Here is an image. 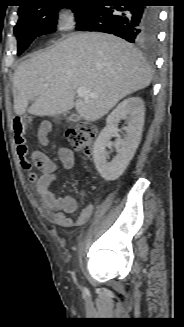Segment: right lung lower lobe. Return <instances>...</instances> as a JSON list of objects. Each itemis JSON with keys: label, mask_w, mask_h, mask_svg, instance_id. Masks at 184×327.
I'll list each match as a JSON object with an SVG mask.
<instances>
[{"label": "right lung lower lobe", "mask_w": 184, "mask_h": 327, "mask_svg": "<svg viewBox=\"0 0 184 327\" xmlns=\"http://www.w3.org/2000/svg\"><path fill=\"white\" fill-rule=\"evenodd\" d=\"M143 0H127L125 6L94 5L77 30L114 34L131 43L152 45L158 33V10Z\"/></svg>", "instance_id": "1"}]
</instances>
